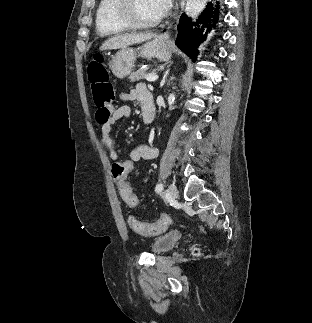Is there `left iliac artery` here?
<instances>
[{
    "instance_id": "1",
    "label": "left iliac artery",
    "mask_w": 312,
    "mask_h": 323,
    "mask_svg": "<svg viewBox=\"0 0 312 323\" xmlns=\"http://www.w3.org/2000/svg\"><path fill=\"white\" fill-rule=\"evenodd\" d=\"M162 190H163V184H162V183H158V184L156 185L155 191H156L157 193H159V192H161Z\"/></svg>"
}]
</instances>
